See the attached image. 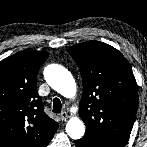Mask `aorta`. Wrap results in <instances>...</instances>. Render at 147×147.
Segmentation results:
<instances>
[{
	"label": "aorta",
	"instance_id": "obj_1",
	"mask_svg": "<svg viewBox=\"0 0 147 147\" xmlns=\"http://www.w3.org/2000/svg\"><path fill=\"white\" fill-rule=\"evenodd\" d=\"M44 76L47 83L64 97L75 95L76 84L71 73L64 67L51 64L45 68ZM66 132L72 139H80L85 133V125L79 117H71L66 124Z\"/></svg>",
	"mask_w": 147,
	"mask_h": 147
}]
</instances>
